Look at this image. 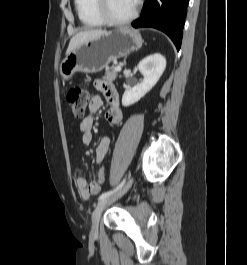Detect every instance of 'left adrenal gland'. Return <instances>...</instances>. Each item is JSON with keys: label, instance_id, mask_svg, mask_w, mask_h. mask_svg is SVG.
Masks as SVG:
<instances>
[{"label": "left adrenal gland", "instance_id": "a2214340", "mask_svg": "<svg viewBox=\"0 0 247 265\" xmlns=\"http://www.w3.org/2000/svg\"><path fill=\"white\" fill-rule=\"evenodd\" d=\"M124 65H126V58L124 59Z\"/></svg>", "mask_w": 247, "mask_h": 265}]
</instances>
